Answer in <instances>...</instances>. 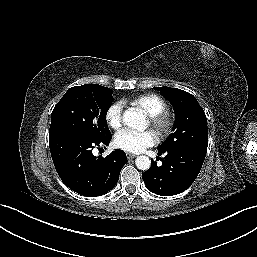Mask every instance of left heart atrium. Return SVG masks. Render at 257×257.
<instances>
[{
	"label": "left heart atrium",
	"mask_w": 257,
	"mask_h": 257,
	"mask_svg": "<svg viewBox=\"0 0 257 257\" xmlns=\"http://www.w3.org/2000/svg\"><path fill=\"white\" fill-rule=\"evenodd\" d=\"M158 139L152 131H135L123 129L114 138L115 146L131 153H140L157 143Z\"/></svg>",
	"instance_id": "39dd6f15"
}]
</instances>
